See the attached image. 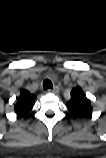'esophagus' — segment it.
I'll return each mask as SVG.
<instances>
[{
	"label": "esophagus",
	"instance_id": "obj_1",
	"mask_svg": "<svg viewBox=\"0 0 106 158\" xmlns=\"http://www.w3.org/2000/svg\"><path fill=\"white\" fill-rule=\"evenodd\" d=\"M59 87L55 86L53 89H48V92H52L54 94H58L59 93Z\"/></svg>",
	"mask_w": 106,
	"mask_h": 158
}]
</instances>
